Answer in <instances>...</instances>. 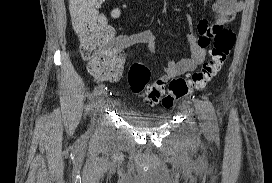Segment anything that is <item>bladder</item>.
<instances>
[{"mask_svg":"<svg viewBox=\"0 0 272 183\" xmlns=\"http://www.w3.org/2000/svg\"><path fill=\"white\" fill-rule=\"evenodd\" d=\"M123 117L131 125L146 130L161 127L169 120L167 115L142 116L133 112H125Z\"/></svg>","mask_w":272,"mask_h":183,"instance_id":"31cf9c89","label":"bladder"}]
</instances>
